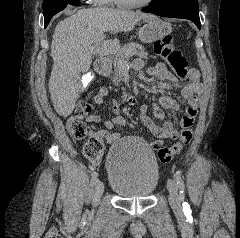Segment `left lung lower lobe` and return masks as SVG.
I'll return each instance as SVG.
<instances>
[{"label": "left lung lower lobe", "instance_id": "left-lung-lower-lobe-1", "mask_svg": "<svg viewBox=\"0 0 240 238\" xmlns=\"http://www.w3.org/2000/svg\"><path fill=\"white\" fill-rule=\"evenodd\" d=\"M142 11L161 17L184 18L200 29L199 6L197 0H169L157 6H148Z\"/></svg>", "mask_w": 240, "mask_h": 238}]
</instances>
